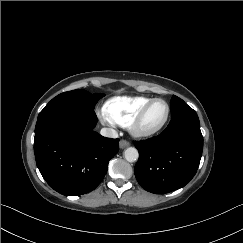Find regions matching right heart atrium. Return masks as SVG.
Returning a JSON list of instances; mask_svg holds the SVG:
<instances>
[{
  "label": "right heart atrium",
  "instance_id": "1",
  "mask_svg": "<svg viewBox=\"0 0 243 243\" xmlns=\"http://www.w3.org/2000/svg\"><path fill=\"white\" fill-rule=\"evenodd\" d=\"M104 118H105L107 121H110V120L106 117V115L104 116Z\"/></svg>",
  "mask_w": 243,
  "mask_h": 243
}]
</instances>
